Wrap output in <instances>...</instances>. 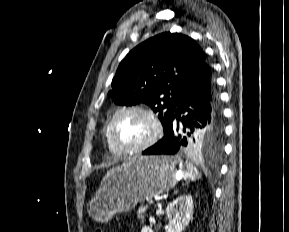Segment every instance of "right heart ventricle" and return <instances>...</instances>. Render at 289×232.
<instances>
[{
	"instance_id": "e07e8e85",
	"label": "right heart ventricle",
	"mask_w": 289,
	"mask_h": 232,
	"mask_svg": "<svg viewBox=\"0 0 289 232\" xmlns=\"http://www.w3.org/2000/svg\"><path fill=\"white\" fill-rule=\"evenodd\" d=\"M108 125L109 123L106 124L105 126V130H104V134H105V140H106V144L108 149L110 150V152H112L113 154H121V152H119L111 143L109 136H108Z\"/></svg>"
}]
</instances>
